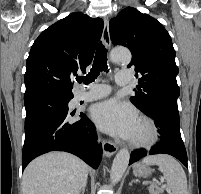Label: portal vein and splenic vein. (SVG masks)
Returning a JSON list of instances; mask_svg holds the SVG:
<instances>
[{"label": "portal vein and splenic vein", "mask_w": 201, "mask_h": 194, "mask_svg": "<svg viewBox=\"0 0 201 194\" xmlns=\"http://www.w3.org/2000/svg\"><path fill=\"white\" fill-rule=\"evenodd\" d=\"M163 182L161 181L159 184H162ZM162 187H164V188H166V186L165 185H162Z\"/></svg>", "instance_id": "obj_1"}]
</instances>
